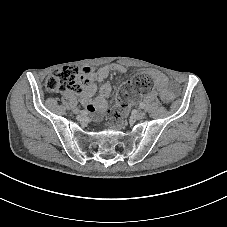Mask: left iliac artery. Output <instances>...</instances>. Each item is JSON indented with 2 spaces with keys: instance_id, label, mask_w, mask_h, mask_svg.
Here are the masks:
<instances>
[{
  "instance_id": "left-iliac-artery-1",
  "label": "left iliac artery",
  "mask_w": 227,
  "mask_h": 227,
  "mask_svg": "<svg viewBox=\"0 0 227 227\" xmlns=\"http://www.w3.org/2000/svg\"><path fill=\"white\" fill-rule=\"evenodd\" d=\"M139 107L143 109L145 107V104L143 102H140Z\"/></svg>"
}]
</instances>
